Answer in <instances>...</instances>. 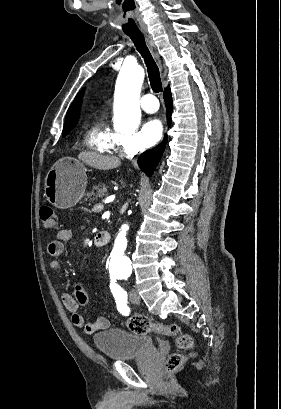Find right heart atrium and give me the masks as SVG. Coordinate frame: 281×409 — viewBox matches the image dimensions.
Wrapping results in <instances>:
<instances>
[{
    "mask_svg": "<svg viewBox=\"0 0 281 409\" xmlns=\"http://www.w3.org/2000/svg\"><path fill=\"white\" fill-rule=\"evenodd\" d=\"M126 118V126L129 130L139 124V115H123ZM121 145L130 152H137L143 149V145L138 136H119Z\"/></svg>",
    "mask_w": 281,
    "mask_h": 409,
    "instance_id": "d8ad5b80",
    "label": "right heart atrium"
}]
</instances>
